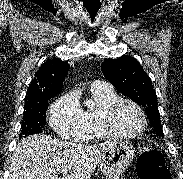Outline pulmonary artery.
I'll return each instance as SVG.
<instances>
[{
  "label": "pulmonary artery",
  "instance_id": "1",
  "mask_svg": "<svg viewBox=\"0 0 183 179\" xmlns=\"http://www.w3.org/2000/svg\"><path fill=\"white\" fill-rule=\"evenodd\" d=\"M92 90H108L111 89V86L104 81L96 80L91 85Z\"/></svg>",
  "mask_w": 183,
  "mask_h": 179
}]
</instances>
